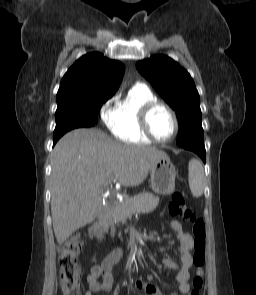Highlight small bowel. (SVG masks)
Instances as JSON below:
<instances>
[{"label": "small bowel", "instance_id": "1", "mask_svg": "<svg viewBox=\"0 0 256 295\" xmlns=\"http://www.w3.org/2000/svg\"><path fill=\"white\" fill-rule=\"evenodd\" d=\"M169 227L178 240L180 264H177L171 258L164 259L163 263L168 269L177 271L178 290L171 295H186L190 290L188 280L192 265L190 251L193 246V238L183 230L182 225L176 220H169ZM123 254L122 249H115L106 256L101 264H96L91 268L87 276L88 289L84 295L112 290L114 283L113 269L123 257ZM133 286L136 289L145 290L148 295H162L156 285L147 280L138 279L134 281Z\"/></svg>", "mask_w": 256, "mask_h": 295}]
</instances>
